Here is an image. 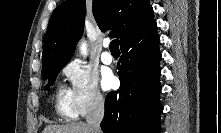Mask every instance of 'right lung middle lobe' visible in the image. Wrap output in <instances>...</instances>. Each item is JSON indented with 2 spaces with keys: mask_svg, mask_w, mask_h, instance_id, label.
<instances>
[{
  "mask_svg": "<svg viewBox=\"0 0 221 133\" xmlns=\"http://www.w3.org/2000/svg\"><path fill=\"white\" fill-rule=\"evenodd\" d=\"M66 63L67 62L55 63L43 67L42 76L44 79H48V83L45 85V89L49 90V85H53L58 73Z\"/></svg>",
  "mask_w": 221,
  "mask_h": 133,
  "instance_id": "1",
  "label": "right lung middle lobe"
}]
</instances>
